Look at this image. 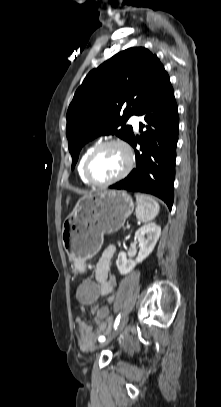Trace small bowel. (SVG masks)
<instances>
[{"label": "small bowel", "mask_w": 221, "mask_h": 407, "mask_svg": "<svg viewBox=\"0 0 221 407\" xmlns=\"http://www.w3.org/2000/svg\"><path fill=\"white\" fill-rule=\"evenodd\" d=\"M116 253V248L113 245L106 247L101 257L95 266V277L97 283H100L101 296L108 297V302L114 301V291L117 286V279L110 273L111 261ZM94 313L99 311V308H94ZM100 321V320H98ZM79 329L78 344L83 351H89L93 348L96 338L108 329L107 322H99L96 330L85 323L80 317L75 319Z\"/></svg>", "instance_id": "small-bowel-1"}]
</instances>
